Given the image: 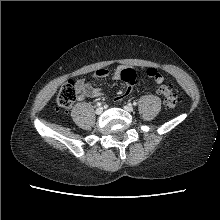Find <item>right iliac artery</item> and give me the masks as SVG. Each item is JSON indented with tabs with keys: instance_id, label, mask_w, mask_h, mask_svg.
I'll return each instance as SVG.
<instances>
[{
	"instance_id": "obj_1",
	"label": "right iliac artery",
	"mask_w": 220,
	"mask_h": 220,
	"mask_svg": "<svg viewBox=\"0 0 220 220\" xmlns=\"http://www.w3.org/2000/svg\"><path fill=\"white\" fill-rule=\"evenodd\" d=\"M101 105H102V103H101V102H98V103H97V106H101Z\"/></svg>"
}]
</instances>
